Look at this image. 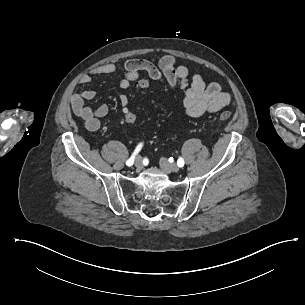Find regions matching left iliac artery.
<instances>
[{
  "instance_id": "1",
  "label": "left iliac artery",
  "mask_w": 305,
  "mask_h": 305,
  "mask_svg": "<svg viewBox=\"0 0 305 305\" xmlns=\"http://www.w3.org/2000/svg\"><path fill=\"white\" fill-rule=\"evenodd\" d=\"M177 165H178L179 167H183V166H184V160H183V158L180 157V158L178 159Z\"/></svg>"
}]
</instances>
